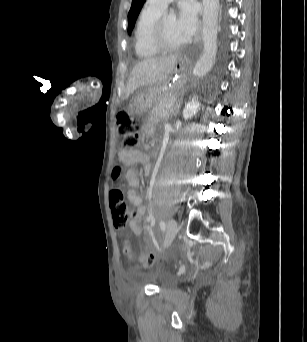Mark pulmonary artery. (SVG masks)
<instances>
[{
	"label": "pulmonary artery",
	"instance_id": "e3ab8cb5",
	"mask_svg": "<svg viewBox=\"0 0 307 342\" xmlns=\"http://www.w3.org/2000/svg\"><path fill=\"white\" fill-rule=\"evenodd\" d=\"M170 2L173 1H146V6L150 10L162 14Z\"/></svg>",
	"mask_w": 307,
	"mask_h": 342
}]
</instances>
